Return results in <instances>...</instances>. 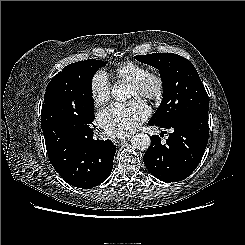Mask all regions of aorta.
<instances>
[{
	"label": "aorta",
	"instance_id": "762f6f07",
	"mask_svg": "<svg viewBox=\"0 0 245 245\" xmlns=\"http://www.w3.org/2000/svg\"><path fill=\"white\" fill-rule=\"evenodd\" d=\"M112 97L117 101H125L128 97L127 91L122 85H115L111 91ZM134 149L147 150L151 144L150 137L144 133L135 134L131 139Z\"/></svg>",
	"mask_w": 245,
	"mask_h": 245
}]
</instances>
